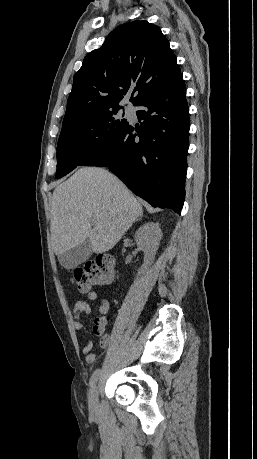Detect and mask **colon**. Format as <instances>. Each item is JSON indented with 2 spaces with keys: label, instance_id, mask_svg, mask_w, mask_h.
Listing matches in <instances>:
<instances>
[{
  "label": "colon",
  "instance_id": "1",
  "mask_svg": "<svg viewBox=\"0 0 257 459\" xmlns=\"http://www.w3.org/2000/svg\"><path fill=\"white\" fill-rule=\"evenodd\" d=\"M113 266L114 261L110 256L90 260L73 271L72 281L81 292H87L93 286L109 282L113 277Z\"/></svg>",
  "mask_w": 257,
  "mask_h": 459
}]
</instances>
